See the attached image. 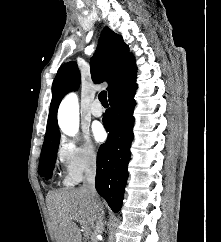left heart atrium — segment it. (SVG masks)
<instances>
[{
    "mask_svg": "<svg viewBox=\"0 0 221 242\" xmlns=\"http://www.w3.org/2000/svg\"><path fill=\"white\" fill-rule=\"evenodd\" d=\"M94 137L97 141H104L106 138V132L101 125H97L93 129Z\"/></svg>",
    "mask_w": 221,
    "mask_h": 242,
    "instance_id": "left-heart-atrium-1",
    "label": "left heart atrium"
}]
</instances>
